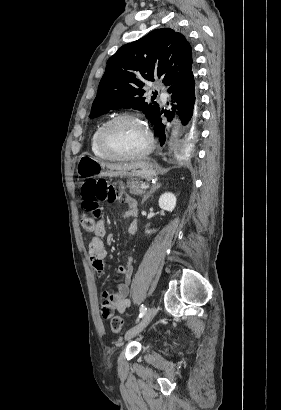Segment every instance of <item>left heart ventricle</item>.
<instances>
[{
    "instance_id": "left-heart-ventricle-1",
    "label": "left heart ventricle",
    "mask_w": 281,
    "mask_h": 410,
    "mask_svg": "<svg viewBox=\"0 0 281 410\" xmlns=\"http://www.w3.org/2000/svg\"><path fill=\"white\" fill-rule=\"evenodd\" d=\"M107 143L121 154H133L142 151L148 142L144 128L131 120L116 122L107 133Z\"/></svg>"
}]
</instances>
